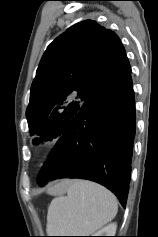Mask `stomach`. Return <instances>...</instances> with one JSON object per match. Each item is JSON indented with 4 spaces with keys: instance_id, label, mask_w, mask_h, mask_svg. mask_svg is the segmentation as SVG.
Listing matches in <instances>:
<instances>
[{
    "instance_id": "1",
    "label": "stomach",
    "mask_w": 158,
    "mask_h": 237,
    "mask_svg": "<svg viewBox=\"0 0 158 237\" xmlns=\"http://www.w3.org/2000/svg\"><path fill=\"white\" fill-rule=\"evenodd\" d=\"M63 182H69V181H63ZM61 183H62V182H61ZM66 187H67V186H66ZM66 187L64 188V191H65Z\"/></svg>"
}]
</instances>
